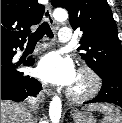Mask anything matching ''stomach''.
<instances>
[{
  "label": "stomach",
  "mask_w": 122,
  "mask_h": 123,
  "mask_svg": "<svg viewBox=\"0 0 122 123\" xmlns=\"http://www.w3.org/2000/svg\"><path fill=\"white\" fill-rule=\"evenodd\" d=\"M73 120L74 123H96L95 117L88 112H75Z\"/></svg>",
  "instance_id": "0dacf381"
}]
</instances>
